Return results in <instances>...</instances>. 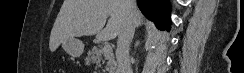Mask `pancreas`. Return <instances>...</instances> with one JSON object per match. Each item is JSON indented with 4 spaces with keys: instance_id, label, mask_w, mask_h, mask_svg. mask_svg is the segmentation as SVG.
<instances>
[{
    "instance_id": "pancreas-1",
    "label": "pancreas",
    "mask_w": 244,
    "mask_h": 73,
    "mask_svg": "<svg viewBox=\"0 0 244 73\" xmlns=\"http://www.w3.org/2000/svg\"><path fill=\"white\" fill-rule=\"evenodd\" d=\"M106 60V69L108 70L109 73H115L116 71V61L114 58L113 52L109 53H104L103 48L99 47H93L91 50L88 51L87 56H86V64H96L100 65V62L104 63Z\"/></svg>"
}]
</instances>
